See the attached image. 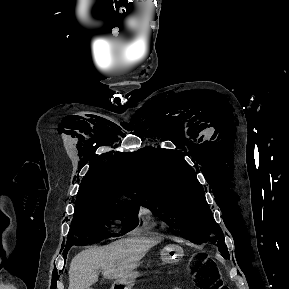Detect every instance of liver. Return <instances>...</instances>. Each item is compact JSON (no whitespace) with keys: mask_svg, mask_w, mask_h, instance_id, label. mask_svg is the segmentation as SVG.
Wrapping results in <instances>:
<instances>
[{"mask_svg":"<svg viewBox=\"0 0 289 289\" xmlns=\"http://www.w3.org/2000/svg\"><path fill=\"white\" fill-rule=\"evenodd\" d=\"M157 243L154 239L125 238L109 246L77 254L70 264L68 289H91V285L98 281L100 268L105 279L126 276Z\"/></svg>","mask_w":289,"mask_h":289,"instance_id":"obj_1","label":"liver"}]
</instances>
